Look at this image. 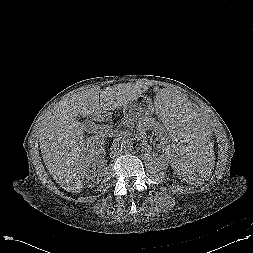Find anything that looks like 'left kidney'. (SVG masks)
Wrapping results in <instances>:
<instances>
[{
    "instance_id": "obj_1",
    "label": "left kidney",
    "mask_w": 253,
    "mask_h": 253,
    "mask_svg": "<svg viewBox=\"0 0 253 253\" xmlns=\"http://www.w3.org/2000/svg\"><path fill=\"white\" fill-rule=\"evenodd\" d=\"M147 130H152L153 135L159 138L160 145L162 147L163 158L168 160L171 159L172 155L169 144L170 140L165 127L154 119H148L146 122L138 125L137 133L140 137L143 138L145 137Z\"/></svg>"
}]
</instances>
